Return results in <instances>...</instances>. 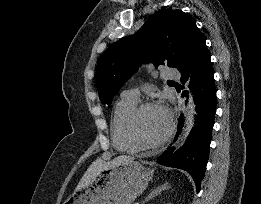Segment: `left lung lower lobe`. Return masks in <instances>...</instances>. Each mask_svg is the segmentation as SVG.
Masks as SVG:
<instances>
[{
    "instance_id": "1",
    "label": "left lung lower lobe",
    "mask_w": 261,
    "mask_h": 204,
    "mask_svg": "<svg viewBox=\"0 0 261 204\" xmlns=\"http://www.w3.org/2000/svg\"><path fill=\"white\" fill-rule=\"evenodd\" d=\"M177 69L181 72V82H189L188 87L195 96L194 102L197 112L195 127L192 128L187 143L180 150L174 153L173 149L169 148L157 159V162L189 172L196 183L197 192H199L209 158L217 104L210 53L206 46L205 37L200 31L195 34L181 65ZM182 96H188V91H184ZM183 124L184 117L181 114L175 140L180 134Z\"/></svg>"
}]
</instances>
